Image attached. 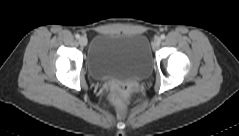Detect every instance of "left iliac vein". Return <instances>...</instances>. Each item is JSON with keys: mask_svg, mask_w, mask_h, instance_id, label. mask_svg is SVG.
<instances>
[{"mask_svg": "<svg viewBox=\"0 0 239 136\" xmlns=\"http://www.w3.org/2000/svg\"><path fill=\"white\" fill-rule=\"evenodd\" d=\"M161 43V39L159 37H156L153 42L154 47H158Z\"/></svg>", "mask_w": 239, "mask_h": 136, "instance_id": "obj_1", "label": "left iliac vein"}]
</instances>
